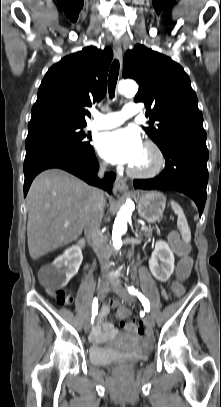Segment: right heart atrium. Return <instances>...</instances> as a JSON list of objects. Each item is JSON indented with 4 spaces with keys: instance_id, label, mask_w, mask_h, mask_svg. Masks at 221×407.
Here are the masks:
<instances>
[{
    "instance_id": "d8ad5b80",
    "label": "right heart atrium",
    "mask_w": 221,
    "mask_h": 407,
    "mask_svg": "<svg viewBox=\"0 0 221 407\" xmlns=\"http://www.w3.org/2000/svg\"><path fill=\"white\" fill-rule=\"evenodd\" d=\"M100 165H101L102 167H105V166H106V163L103 162V161H101V162H100Z\"/></svg>"
}]
</instances>
